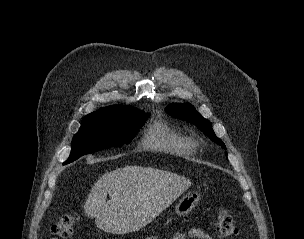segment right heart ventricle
Wrapping results in <instances>:
<instances>
[{
  "label": "right heart ventricle",
  "instance_id": "obj_1",
  "mask_svg": "<svg viewBox=\"0 0 304 239\" xmlns=\"http://www.w3.org/2000/svg\"><path fill=\"white\" fill-rule=\"evenodd\" d=\"M142 144L144 147L178 156L194 152V142L188 136L177 132L166 123L157 121L146 130Z\"/></svg>",
  "mask_w": 304,
  "mask_h": 239
}]
</instances>
